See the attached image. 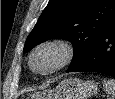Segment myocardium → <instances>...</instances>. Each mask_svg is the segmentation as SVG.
I'll use <instances>...</instances> for the list:
<instances>
[{
	"label": "myocardium",
	"instance_id": "1",
	"mask_svg": "<svg viewBox=\"0 0 115 99\" xmlns=\"http://www.w3.org/2000/svg\"><path fill=\"white\" fill-rule=\"evenodd\" d=\"M46 48L57 49L60 52L61 57H60L59 62L54 67H52L48 70H45V71H40L34 67L33 60H34L35 55L39 51L46 49ZM74 56H75V48L69 40L64 39V38L48 39V40H45V41L39 43L31 51L30 56H29V66L33 72H35L39 75L45 76V75L55 73V72L61 70L62 68L66 67L67 65H69L72 62Z\"/></svg>",
	"mask_w": 115,
	"mask_h": 99
}]
</instances>
